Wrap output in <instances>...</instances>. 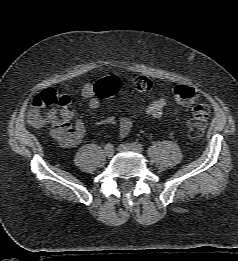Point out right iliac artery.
<instances>
[{"instance_id":"1","label":"right iliac artery","mask_w":238,"mask_h":261,"mask_svg":"<svg viewBox=\"0 0 238 261\" xmlns=\"http://www.w3.org/2000/svg\"><path fill=\"white\" fill-rule=\"evenodd\" d=\"M113 148V146H112V144H110V143H107L106 145H105V149H106V151H111V149Z\"/></svg>"}]
</instances>
